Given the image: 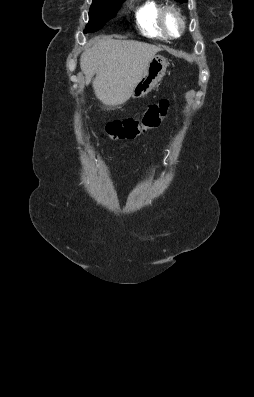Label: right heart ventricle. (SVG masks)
Listing matches in <instances>:
<instances>
[{"label": "right heart ventricle", "mask_w": 254, "mask_h": 397, "mask_svg": "<svg viewBox=\"0 0 254 397\" xmlns=\"http://www.w3.org/2000/svg\"><path fill=\"white\" fill-rule=\"evenodd\" d=\"M162 4L156 0H145L136 9V21L141 31L150 37L166 39L159 24Z\"/></svg>", "instance_id": "1"}]
</instances>
